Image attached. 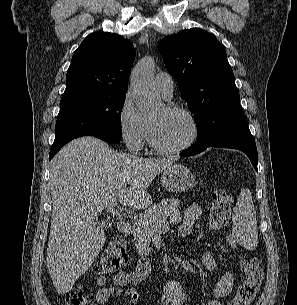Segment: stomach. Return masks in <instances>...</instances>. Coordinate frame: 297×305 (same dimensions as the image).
<instances>
[{
    "label": "stomach",
    "mask_w": 297,
    "mask_h": 305,
    "mask_svg": "<svg viewBox=\"0 0 297 305\" xmlns=\"http://www.w3.org/2000/svg\"><path fill=\"white\" fill-rule=\"evenodd\" d=\"M161 181L167 191L174 193L187 191L195 184L194 175L187 167L181 164L171 165L166 168Z\"/></svg>",
    "instance_id": "obj_1"
}]
</instances>
